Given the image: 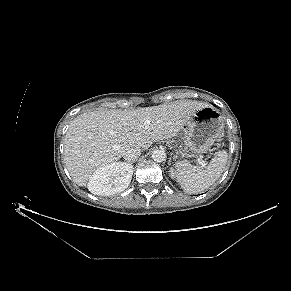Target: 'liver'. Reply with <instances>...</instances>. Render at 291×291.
I'll return each instance as SVG.
<instances>
[{
    "label": "liver",
    "mask_w": 291,
    "mask_h": 291,
    "mask_svg": "<svg viewBox=\"0 0 291 291\" xmlns=\"http://www.w3.org/2000/svg\"><path fill=\"white\" fill-rule=\"evenodd\" d=\"M205 106L185 100L130 111L81 114L70 123L64 139L66 168L77 185L85 186L93 172L118 161L124 147L147 150L153 141L171 139Z\"/></svg>",
    "instance_id": "obj_1"
}]
</instances>
